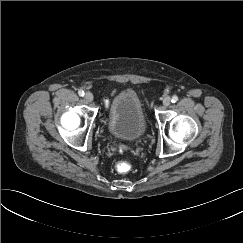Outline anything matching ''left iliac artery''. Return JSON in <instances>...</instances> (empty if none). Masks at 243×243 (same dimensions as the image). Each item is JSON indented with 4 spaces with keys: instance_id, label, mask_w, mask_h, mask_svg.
Here are the masks:
<instances>
[{
    "instance_id": "44dca946",
    "label": "left iliac artery",
    "mask_w": 243,
    "mask_h": 243,
    "mask_svg": "<svg viewBox=\"0 0 243 243\" xmlns=\"http://www.w3.org/2000/svg\"><path fill=\"white\" fill-rule=\"evenodd\" d=\"M171 101H172L173 103L177 102V101H178V97H177L176 95H174V96L172 97Z\"/></svg>"
}]
</instances>
